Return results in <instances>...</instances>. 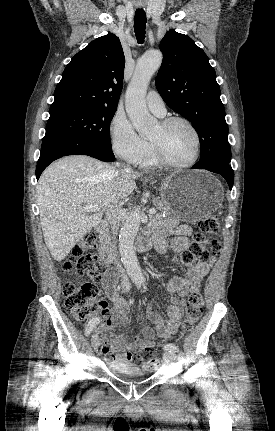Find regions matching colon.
Instances as JSON below:
<instances>
[{
  "label": "colon",
  "instance_id": "obj_1",
  "mask_svg": "<svg viewBox=\"0 0 275 431\" xmlns=\"http://www.w3.org/2000/svg\"><path fill=\"white\" fill-rule=\"evenodd\" d=\"M201 234L188 249L183 251L178 261L188 267H194L200 262L207 261L210 255L220 251V243L214 239L209 242V247L204 245L203 235H214L220 231L219 217L215 214L207 215L198 223ZM97 248L96 238L93 234H87L76 244L71 257L63 264V269L69 271L72 268L78 276H88L92 281L77 285L67 282L63 285L62 295L64 304L69 309L74 319L86 322L98 312L103 314L106 303L98 299V288L95 281L101 279L106 273V265L95 253ZM203 308V297L200 293H192L189 296L188 306L183 321V331H191L200 318ZM136 362L147 371L155 370L159 360L152 350L147 348L142 356L138 355Z\"/></svg>",
  "mask_w": 275,
  "mask_h": 431
}]
</instances>
